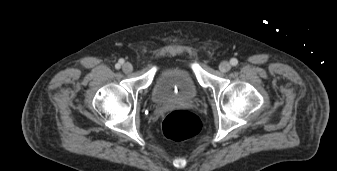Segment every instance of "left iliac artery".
Returning a JSON list of instances; mask_svg holds the SVG:
<instances>
[{
    "mask_svg": "<svg viewBox=\"0 0 337 171\" xmlns=\"http://www.w3.org/2000/svg\"><path fill=\"white\" fill-rule=\"evenodd\" d=\"M230 63H231L232 66H236L238 64V60L236 58H232L230 60Z\"/></svg>",
    "mask_w": 337,
    "mask_h": 171,
    "instance_id": "left-iliac-artery-1",
    "label": "left iliac artery"
}]
</instances>
